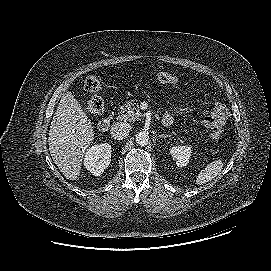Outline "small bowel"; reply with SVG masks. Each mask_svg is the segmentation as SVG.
<instances>
[{
    "label": "small bowel",
    "instance_id": "obj_1",
    "mask_svg": "<svg viewBox=\"0 0 271 271\" xmlns=\"http://www.w3.org/2000/svg\"><path fill=\"white\" fill-rule=\"evenodd\" d=\"M228 116L229 111L227 107L223 103L216 102L213 106L212 111L203 118V125L206 128L218 129L225 124ZM164 119H168L170 121V124H172L174 117L172 114L166 113L163 117V120Z\"/></svg>",
    "mask_w": 271,
    "mask_h": 271
}]
</instances>
